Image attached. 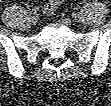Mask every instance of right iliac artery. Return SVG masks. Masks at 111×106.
I'll use <instances>...</instances> for the list:
<instances>
[{"instance_id": "1", "label": "right iliac artery", "mask_w": 111, "mask_h": 106, "mask_svg": "<svg viewBox=\"0 0 111 106\" xmlns=\"http://www.w3.org/2000/svg\"><path fill=\"white\" fill-rule=\"evenodd\" d=\"M38 11H39V8H38V7H34V8L32 9V13H33V14L38 13Z\"/></svg>"}]
</instances>
